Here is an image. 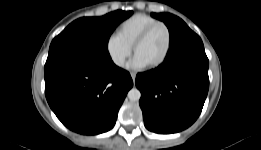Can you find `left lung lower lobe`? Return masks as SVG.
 I'll use <instances>...</instances> for the list:
<instances>
[{
    "label": "left lung lower lobe",
    "instance_id": "obj_1",
    "mask_svg": "<svg viewBox=\"0 0 261 150\" xmlns=\"http://www.w3.org/2000/svg\"><path fill=\"white\" fill-rule=\"evenodd\" d=\"M209 61L201 38L192 30L170 45L161 65L136 76L145 127L176 133L200 115L209 89Z\"/></svg>",
    "mask_w": 261,
    "mask_h": 150
}]
</instances>
